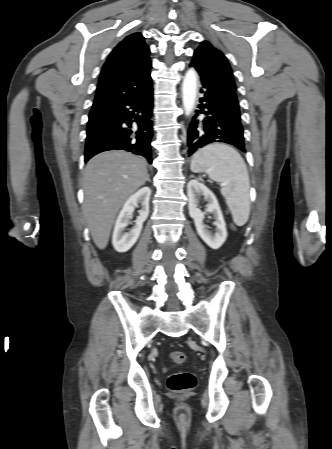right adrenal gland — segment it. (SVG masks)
I'll list each match as a JSON object with an SVG mask.
<instances>
[{"instance_id": "2a0ac1e0", "label": "right adrenal gland", "mask_w": 332, "mask_h": 449, "mask_svg": "<svg viewBox=\"0 0 332 449\" xmlns=\"http://www.w3.org/2000/svg\"><path fill=\"white\" fill-rule=\"evenodd\" d=\"M147 181H148V182H150V178H149V175L147 176Z\"/></svg>"}]
</instances>
